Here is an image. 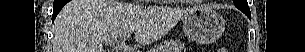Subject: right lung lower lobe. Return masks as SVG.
Segmentation results:
<instances>
[{"instance_id": "98d812e1", "label": "right lung lower lobe", "mask_w": 305, "mask_h": 52, "mask_svg": "<svg viewBox=\"0 0 305 52\" xmlns=\"http://www.w3.org/2000/svg\"><path fill=\"white\" fill-rule=\"evenodd\" d=\"M69 0H54L52 21L56 18L59 11Z\"/></svg>"}]
</instances>
